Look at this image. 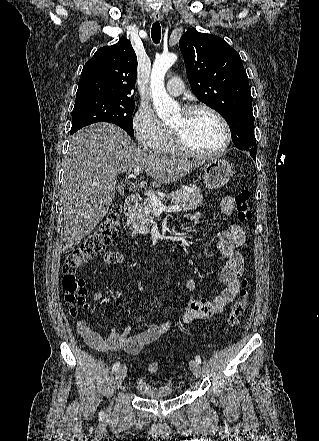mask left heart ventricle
Instances as JSON below:
<instances>
[{
	"mask_svg": "<svg viewBox=\"0 0 319 441\" xmlns=\"http://www.w3.org/2000/svg\"><path fill=\"white\" fill-rule=\"evenodd\" d=\"M169 125L180 128L187 144L197 151H214L225 141L222 125L206 111H198L186 118L181 110L170 120Z\"/></svg>",
	"mask_w": 319,
	"mask_h": 441,
	"instance_id": "left-heart-ventricle-1",
	"label": "left heart ventricle"
}]
</instances>
